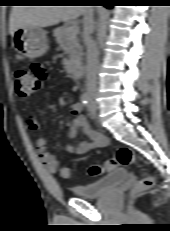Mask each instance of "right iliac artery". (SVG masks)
<instances>
[{
	"label": "right iliac artery",
	"mask_w": 170,
	"mask_h": 231,
	"mask_svg": "<svg viewBox=\"0 0 170 231\" xmlns=\"http://www.w3.org/2000/svg\"><path fill=\"white\" fill-rule=\"evenodd\" d=\"M80 101L84 107H87L89 102V95L87 93H83L80 97Z\"/></svg>",
	"instance_id": "obj_1"
}]
</instances>
